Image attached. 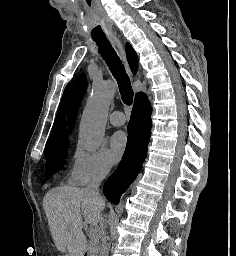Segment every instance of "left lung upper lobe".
<instances>
[{"label": "left lung upper lobe", "instance_id": "left-lung-upper-lobe-1", "mask_svg": "<svg viewBox=\"0 0 236 256\" xmlns=\"http://www.w3.org/2000/svg\"><path fill=\"white\" fill-rule=\"evenodd\" d=\"M87 89V80L84 74L78 76L70 94L68 104V128L71 131L74 127L81 101Z\"/></svg>", "mask_w": 236, "mask_h": 256}]
</instances>
